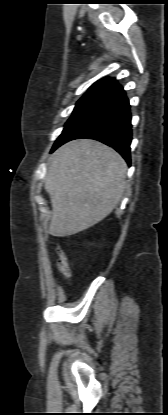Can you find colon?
<instances>
[{
	"label": "colon",
	"instance_id": "colon-1",
	"mask_svg": "<svg viewBox=\"0 0 168 415\" xmlns=\"http://www.w3.org/2000/svg\"><path fill=\"white\" fill-rule=\"evenodd\" d=\"M58 271L65 279H67L70 275V269L68 265L67 256L65 252L60 248H59Z\"/></svg>",
	"mask_w": 168,
	"mask_h": 415
}]
</instances>
